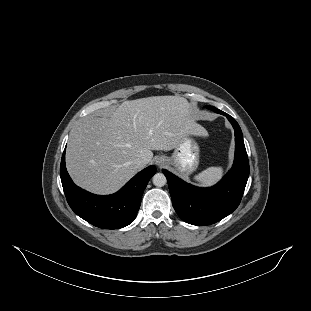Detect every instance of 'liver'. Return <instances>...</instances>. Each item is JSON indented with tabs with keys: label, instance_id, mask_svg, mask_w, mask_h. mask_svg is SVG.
<instances>
[{
	"label": "liver",
	"instance_id": "6515ba94",
	"mask_svg": "<svg viewBox=\"0 0 311 311\" xmlns=\"http://www.w3.org/2000/svg\"><path fill=\"white\" fill-rule=\"evenodd\" d=\"M189 137L206 140L209 134L195 124L185 98L125 101L109 119L87 117L72 131L67 168L81 187L111 193L148 165L152 151L170 152ZM137 158L142 159L140 166Z\"/></svg>",
	"mask_w": 311,
	"mask_h": 311
}]
</instances>
